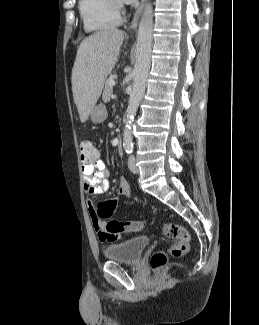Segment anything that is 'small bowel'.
Listing matches in <instances>:
<instances>
[{"label": "small bowel", "mask_w": 259, "mask_h": 325, "mask_svg": "<svg viewBox=\"0 0 259 325\" xmlns=\"http://www.w3.org/2000/svg\"><path fill=\"white\" fill-rule=\"evenodd\" d=\"M81 169L84 181V191L88 195L99 196L109 190L110 172L107 169L104 161L100 158L99 152L97 151L96 158L90 163H82ZM119 195L123 197H129L131 195V189L128 181L125 178H121L118 187ZM89 213L97 233L98 238L102 242H113L121 237V233L110 234L105 229V220L100 219L96 215V211L93 207L92 201L88 200Z\"/></svg>", "instance_id": "1"}]
</instances>
